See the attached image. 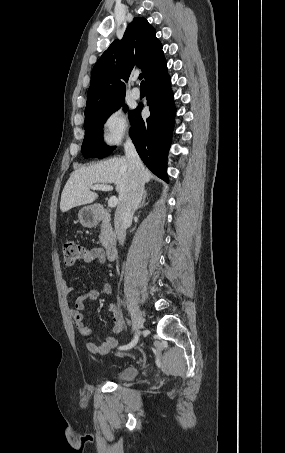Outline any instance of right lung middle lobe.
I'll list each match as a JSON object with an SVG mask.
<instances>
[{
  "label": "right lung middle lobe",
  "instance_id": "dd1d6c3e",
  "mask_svg": "<svg viewBox=\"0 0 285 453\" xmlns=\"http://www.w3.org/2000/svg\"><path fill=\"white\" fill-rule=\"evenodd\" d=\"M124 102L125 99L121 98L85 114V137L82 144V154L85 158H103L114 151L115 147H109L104 144L103 124L115 110L124 105ZM124 108L128 109L126 105H124ZM133 112H129V118H131Z\"/></svg>",
  "mask_w": 285,
  "mask_h": 453
}]
</instances>
